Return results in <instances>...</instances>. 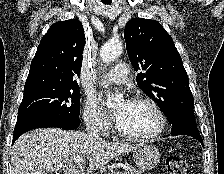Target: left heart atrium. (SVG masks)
<instances>
[{"mask_svg": "<svg viewBox=\"0 0 224 174\" xmlns=\"http://www.w3.org/2000/svg\"><path fill=\"white\" fill-rule=\"evenodd\" d=\"M115 118H116V120L118 122V120H119V114L118 113L115 114Z\"/></svg>", "mask_w": 224, "mask_h": 174, "instance_id": "39dd6f15", "label": "left heart atrium"}]
</instances>
